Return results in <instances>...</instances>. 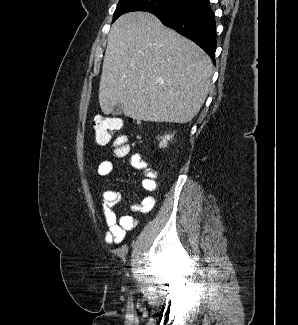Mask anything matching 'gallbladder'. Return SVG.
I'll use <instances>...</instances> for the list:
<instances>
[{
  "label": "gallbladder",
  "mask_w": 298,
  "mask_h": 325,
  "mask_svg": "<svg viewBox=\"0 0 298 325\" xmlns=\"http://www.w3.org/2000/svg\"><path fill=\"white\" fill-rule=\"evenodd\" d=\"M111 114L116 116V114H122V104H115L111 110Z\"/></svg>",
  "instance_id": "1"
}]
</instances>
